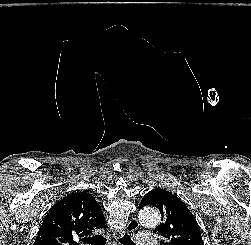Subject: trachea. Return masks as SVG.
Here are the masks:
<instances>
[{
  "instance_id": "obj_1",
  "label": "trachea",
  "mask_w": 251,
  "mask_h": 245,
  "mask_svg": "<svg viewBox=\"0 0 251 245\" xmlns=\"http://www.w3.org/2000/svg\"><path fill=\"white\" fill-rule=\"evenodd\" d=\"M106 238L102 235H96L90 238H83L82 241L84 243H88L90 245H105ZM119 242L123 245H134L133 241L131 240L130 236L127 234H124L122 238H119Z\"/></svg>"
}]
</instances>
